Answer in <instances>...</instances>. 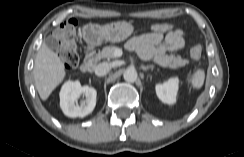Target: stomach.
<instances>
[{"label": "stomach", "mask_w": 244, "mask_h": 157, "mask_svg": "<svg viewBox=\"0 0 244 157\" xmlns=\"http://www.w3.org/2000/svg\"><path fill=\"white\" fill-rule=\"evenodd\" d=\"M134 31L131 23L126 21L112 22L106 25L89 23L83 27L85 41L91 46L100 45L103 41L121 42Z\"/></svg>", "instance_id": "obj_1"}]
</instances>
